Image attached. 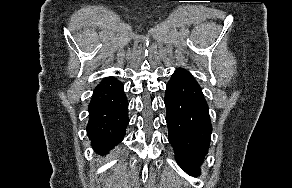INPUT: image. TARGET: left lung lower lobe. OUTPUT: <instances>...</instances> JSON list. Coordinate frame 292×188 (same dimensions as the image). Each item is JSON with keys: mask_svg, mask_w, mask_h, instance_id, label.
Instances as JSON below:
<instances>
[{"mask_svg": "<svg viewBox=\"0 0 292 188\" xmlns=\"http://www.w3.org/2000/svg\"><path fill=\"white\" fill-rule=\"evenodd\" d=\"M168 140L180 167L196 176L208 152L211 121L199 84L184 69H176L165 91Z\"/></svg>", "mask_w": 292, "mask_h": 188, "instance_id": "left-lung-lower-lobe-1", "label": "left lung lower lobe"}]
</instances>
